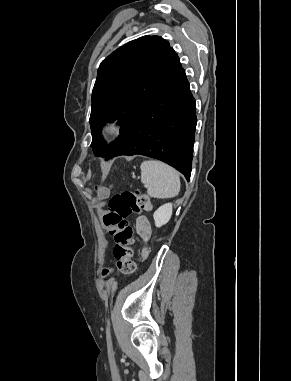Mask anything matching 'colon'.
Masks as SVG:
<instances>
[{"label": "colon", "mask_w": 291, "mask_h": 381, "mask_svg": "<svg viewBox=\"0 0 291 381\" xmlns=\"http://www.w3.org/2000/svg\"><path fill=\"white\" fill-rule=\"evenodd\" d=\"M100 195L106 190L97 187ZM151 208L149 197L138 190H124L116 193L109 202V212L103 218L104 225L109 230L115 243V269L122 275H131L135 270L132 245L135 242L134 229L128 223V217L135 213L148 212ZM112 272L109 267L101 269V276L106 277Z\"/></svg>", "instance_id": "obj_1"}]
</instances>
